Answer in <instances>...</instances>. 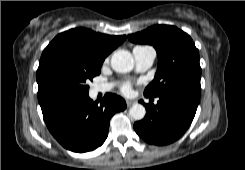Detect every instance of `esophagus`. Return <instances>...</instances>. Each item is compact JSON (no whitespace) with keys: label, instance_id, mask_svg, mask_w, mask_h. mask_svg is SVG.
<instances>
[{"label":"esophagus","instance_id":"34e87169","mask_svg":"<svg viewBox=\"0 0 245 170\" xmlns=\"http://www.w3.org/2000/svg\"><path fill=\"white\" fill-rule=\"evenodd\" d=\"M127 107H130L133 104L132 100H126Z\"/></svg>","mask_w":245,"mask_h":170}]
</instances>
